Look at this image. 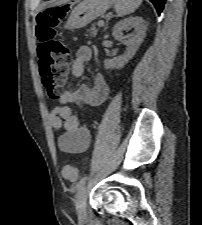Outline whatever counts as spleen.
Returning <instances> with one entry per match:
<instances>
[{
	"label": "spleen",
	"instance_id": "3e777b00",
	"mask_svg": "<svg viewBox=\"0 0 202 225\" xmlns=\"http://www.w3.org/2000/svg\"><path fill=\"white\" fill-rule=\"evenodd\" d=\"M118 16H125L133 13L142 3V0H113Z\"/></svg>",
	"mask_w": 202,
	"mask_h": 225
}]
</instances>
